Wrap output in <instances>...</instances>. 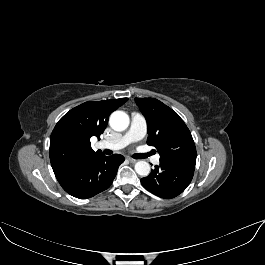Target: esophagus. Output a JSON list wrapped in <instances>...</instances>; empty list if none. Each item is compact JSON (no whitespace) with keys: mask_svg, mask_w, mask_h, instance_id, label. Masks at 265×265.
Instances as JSON below:
<instances>
[{"mask_svg":"<svg viewBox=\"0 0 265 265\" xmlns=\"http://www.w3.org/2000/svg\"><path fill=\"white\" fill-rule=\"evenodd\" d=\"M128 160H129L131 163H136V162H137L136 159H133V158H131V157H128Z\"/></svg>","mask_w":265,"mask_h":265,"instance_id":"1","label":"esophagus"}]
</instances>
